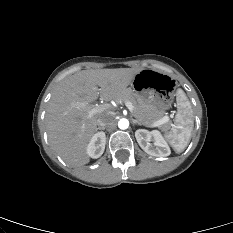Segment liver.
Masks as SVG:
<instances>
[{"label": "liver", "instance_id": "obj_1", "mask_svg": "<svg viewBox=\"0 0 233 233\" xmlns=\"http://www.w3.org/2000/svg\"><path fill=\"white\" fill-rule=\"evenodd\" d=\"M142 69L83 70L64 78L55 88L46 111L48 139L57 154L71 165L89 163L87 145L97 131V120L110 110L88 116L78 104L119 100ZM99 86V88H98Z\"/></svg>", "mask_w": 233, "mask_h": 233}]
</instances>
